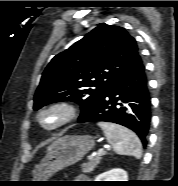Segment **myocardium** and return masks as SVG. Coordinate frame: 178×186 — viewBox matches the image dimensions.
<instances>
[{
    "label": "myocardium",
    "mask_w": 178,
    "mask_h": 186,
    "mask_svg": "<svg viewBox=\"0 0 178 186\" xmlns=\"http://www.w3.org/2000/svg\"><path fill=\"white\" fill-rule=\"evenodd\" d=\"M57 111L60 113V119L53 125L47 126L42 122L43 115ZM78 116V109L77 107L68 101H57L50 103L38 110L36 113V122L37 124L47 132H54L57 131L71 122H73Z\"/></svg>",
    "instance_id": "myocardium-1"
}]
</instances>
